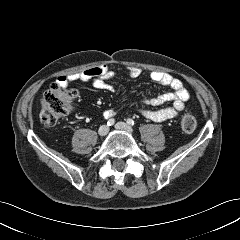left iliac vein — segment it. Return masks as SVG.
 Wrapping results in <instances>:
<instances>
[{
  "mask_svg": "<svg viewBox=\"0 0 240 240\" xmlns=\"http://www.w3.org/2000/svg\"><path fill=\"white\" fill-rule=\"evenodd\" d=\"M115 128L118 129V130H122V131H125V132H128V133H132L133 130L132 128L127 125L126 123L124 122H118L115 124Z\"/></svg>",
  "mask_w": 240,
  "mask_h": 240,
  "instance_id": "1",
  "label": "left iliac vein"
}]
</instances>
